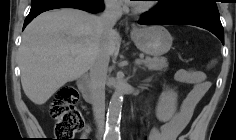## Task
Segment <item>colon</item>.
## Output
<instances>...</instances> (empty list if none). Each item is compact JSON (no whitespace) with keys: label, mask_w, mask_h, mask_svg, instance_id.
Masks as SVG:
<instances>
[{"label":"colon","mask_w":236,"mask_h":140,"mask_svg":"<svg viewBox=\"0 0 236 140\" xmlns=\"http://www.w3.org/2000/svg\"><path fill=\"white\" fill-rule=\"evenodd\" d=\"M79 95L76 88L65 86L58 91L50 104V116L55 121L54 133L57 140H72L84 127V119L77 108ZM147 105L145 112H147ZM145 121V116L142 118ZM179 140H186L181 136Z\"/></svg>","instance_id":"5ec220e1"}]
</instances>
